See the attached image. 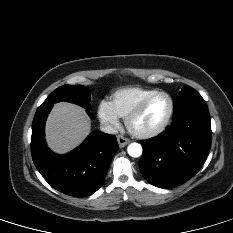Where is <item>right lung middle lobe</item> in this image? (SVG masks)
<instances>
[{
    "label": "right lung middle lobe",
    "mask_w": 233,
    "mask_h": 233,
    "mask_svg": "<svg viewBox=\"0 0 233 233\" xmlns=\"http://www.w3.org/2000/svg\"><path fill=\"white\" fill-rule=\"evenodd\" d=\"M89 100L90 90L87 87L81 85H63L53 91L41 104V107L53 106L54 103L66 101L75 103L87 110H91Z\"/></svg>",
    "instance_id": "obj_1"
}]
</instances>
